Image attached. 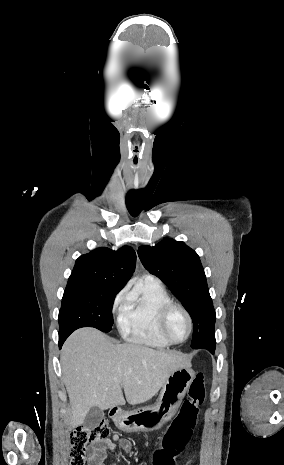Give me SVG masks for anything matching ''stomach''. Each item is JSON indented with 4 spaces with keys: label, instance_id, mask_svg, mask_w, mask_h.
I'll use <instances>...</instances> for the list:
<instances>
[{
    "label": "stomach",
    "instance_id": "obj_1",
    "mask_svg": "<svg viewBox=\"0 0 284 465\" xmlns=\"http://www.w3.org/2000/svg\"><path fill=\"white\" fill-rule=\"evenodd\" d=\"M194 377L193 369L184 367L169 375L160 395L151 407H142L135 411H121L113 417V421L125 433L138 431H157L176 415L182 399H184Z\"/></svg>",
    "mask_w": 284,
    "mask_h": 465
}]
</instances>
